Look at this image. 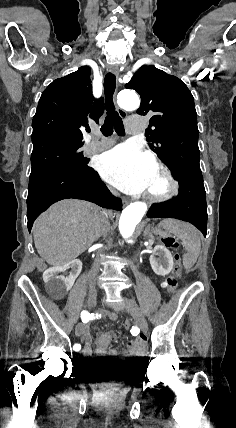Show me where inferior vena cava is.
Segmentation results:
<instances>
[{
	"label": "inferior vena cava",
	"instance_id": "1",
	"mask_svg": "<svg viewBox=\"0 0 236 428\" xmlns=\"http://www.w3.org/2000/svg\"><path fill=\"white\" fill-rule=\"evenodd\" d=\"M102 252H103V249H98V253L96 254L97 255V257L94 259L95 261H94V263H93V267L91 268L92 270L88 273L90 276H92L94 279L97 277L96 275H95V273L97 274L98 272H99V268H100V260H99V257H102L101 256V254H102ZM92 284V285H91ZM88 287H89V290L90 291H88L87 292V294H88V296H90V297H94V296H96V291H94V290H96V287L95 286H97V281H92V283H91ZM94 286V287H93ZM92 287H93V290H92Z\"/></svg>",
	"mask_w": 236,
	"mask_h": 428
}]
</instances>
